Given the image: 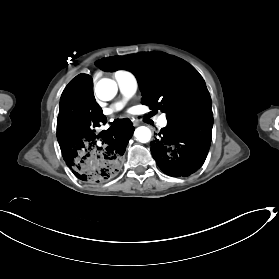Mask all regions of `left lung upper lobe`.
<instances>
[{"label": "left lung upper lobe", "mask_w": 279, "mask_h": 279, "mask_svg": "<svg viewBox=\"0 0 279 279\" xmlns=\"http://www.w3.org/2000/svg\"><path fill=\"white\" fill-rule=\"evenodd\" d=\"M96 65L104 71L132 72L142 91V103L165 112L168 123L213 119L204 80L182 59L152 52L104 58Z\"/></svg>", "instance_id": "left-lung-upper-lobe-1"}]
</instances>
